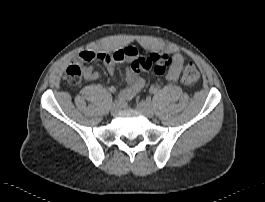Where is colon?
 Returning a JSON list of instances; mask_svg holds the SVG:
<instances>
[{
  "mask_svg": "<svg viewBox=\"0 0 265 202\" xmlns=\"http://www.w3.org/2000/svg\"><path fill=\"white\" fill-rule=\"evenodd\" d=\"M126 57L133 58L131 67L136 72H154L157 75H162L171 66L172 58L167 54L147 53L136 56L134 51L126 49L119 50L110 55L111 60H122ZM67 81L72 85H78L84 77L83 64L76 63L67 67L65 72ZM201 81V74L196 66L185 61L181 73V82L185 86H193Z\"/></svg>",
  "mask_w": 265,
  "mask_h": 202,
  "instance_id": "colon-1",
  "label": "colon"
}]
</instances>
